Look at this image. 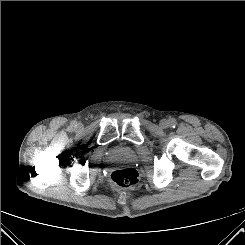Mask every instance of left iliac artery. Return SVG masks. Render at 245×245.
<instances>
[{
  "label": "left iliac artery",
  "instance_id": "1",
  "mask_svg": "<svg viewBox=\"0 0 245 245\" xmlns=\"http://www.w3.org/2000/svg\"><path fill=\"white\" fill-rule=\"evenodd\" d=\"M176 124H177V122H176V120L174 118H171L169 120V126L170 127H173L174 128L176 126Z\"/></svg>",
  "mask_w": 245,
  "mask_h": 245
}]
</instances>
